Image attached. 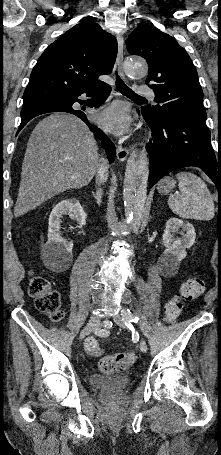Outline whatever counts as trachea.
I'll return each instance as SVG.
<instances>
[{
  "instance_id": "trachea-1",
  "label": "trachea",
  "mask_w": 221,
  "mask_h": 455,
  "mask_svg": "<svg viewBox=\"0 0 221 455\" xmlns=\"http://www.w3.org/2000/svg\"><path fill=\"white\" fill-rule=\"evenodd\" d=\"M116 87L117 89L124 95L129 96V97H134V98H139V99H145L142 96L137 95L134 91H132L124 82L123 80L118 76L116 72Z\"/></svg>"
}]
</instances>
